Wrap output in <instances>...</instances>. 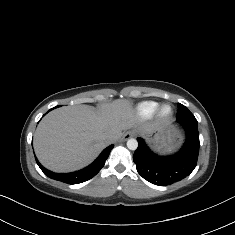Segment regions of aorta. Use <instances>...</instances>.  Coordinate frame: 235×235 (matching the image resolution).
I'll return each mask as SVG.
<instances>
[{"label":"aorta","mask_w":235,"mask_h":235,"mask_svg":"<svg viewBox=\"0 0 235 235\" xmlns=\"http://www.w3.org/2000/svg\"><path fill=\"white\" fill-rule=\"evenodd\" d=\"M138 147V142L136 139L134 138H130L128 139L127 141V148L130 149V150H136Z\"/></svg>","instance_id":"aorta-1"}]
</instances>
